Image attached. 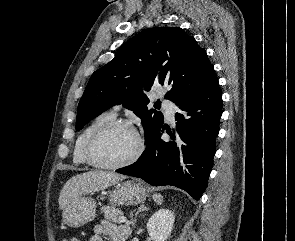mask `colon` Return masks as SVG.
<instances>
[{"label": "colon", "instance_id": "colon-1", "mask_svg": "<svg viewBox=\"0 0 295 241\" xmlns=\"http://www.w3.org/2000/svg\"><path fill=\"white\" fill-rule=\"evenodd\" d=\"M64 241H66V240H64ZM70 241H79L78 239H76V238H74V239H72V240H70Z\"/></svg>", "mask_w": 295, "mask_h": 241}]
</instances>
